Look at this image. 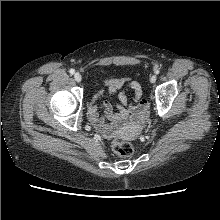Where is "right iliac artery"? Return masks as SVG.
Returning a JSON list of instances; mask_svg holds the SVG:
<instances>
[{"label": "right iliac artery", "mask_w": 220, "mask_h": 220, "mask_svg": "<svg viewBox=\"0 0 220 220\" xmlns=\"http://www.w3.org/2000/svg\"><path fill=\"white\" fill-rule=\"evenodd\" d=\"M69 73L73 75L75 73V70L74 69H70Z\"/></svg>", "instance_id": "82829eb1"}]
</instances>
